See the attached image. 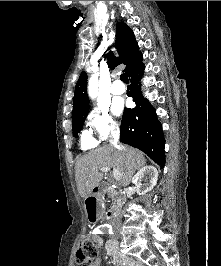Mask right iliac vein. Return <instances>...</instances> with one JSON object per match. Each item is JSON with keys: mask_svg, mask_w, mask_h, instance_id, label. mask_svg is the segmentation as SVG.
Here are the masks:
<instances>
[{"mask_svg": "<svg viewBox=\"0 0 221 266\" xmlns=\"http://www.w3.org/2000/svg\"><path fill=\"white\" fill-rule=\"evenodd\" d=\"M118 243H117V241H116V239L114 240V245H117Z\"/></svg>", "mask_w": 221, "mask_h": 266, "instance_id": "1", "label": "right iliac vein"}]
</instances>
